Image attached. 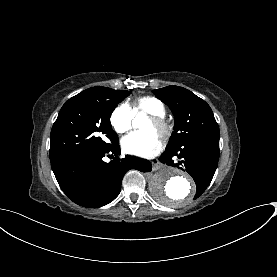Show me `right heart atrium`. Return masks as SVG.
Masks as SVG:
<instances>
[{"label": "right heart atrium", "mask_w": 277, "mask_h": 277, "mask_svg": "<svg viewBox=\"0 0 277 277\" xmlns=\"http://www.w3.org/2000/svg\"><path fill=\"white\" fill-rule=\"evenodd\" d=\"M110 122L114 130L123 134L130 130L132 124V114L127 106H118L110 117Z\"/></svg>", "instance_id": "obj_1"}]
</instances>
